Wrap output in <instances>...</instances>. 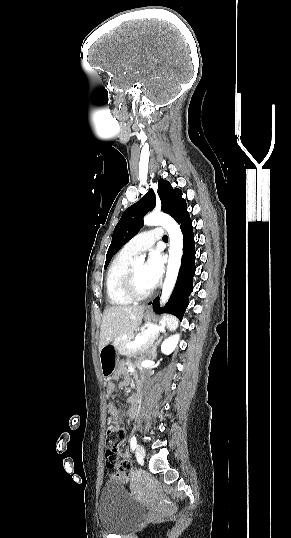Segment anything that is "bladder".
Segmentation results:
<instances>
[{
  "label": "bladder",
  "mask_w": 291,
  "mask_h": 538,
  "mask_svg": "<svg viewBox=\"0 0 291 538\" xmlns=\"http://www.w3.org/2000/svg\"><path fill=\"white\" fill-rule=\"evenodd\" d=\"M145 508L130 498L119 482H108L97 504L101 527L111 534L128 532L144 515Z\"/></svg>",
  "instance_id": "31cf9c89"
}]
</instances>
